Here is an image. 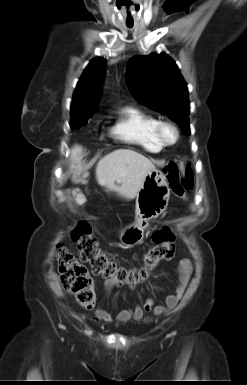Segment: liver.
I'll return each mask as SVG.
<instances>
[{"mask_svg": "<svg viewBox=\"0 0 247 385\" xmlns=\"http://www.w3.org/2000/svg\"><path fill=\"white\" fill-rule=\"evenodd\" d=\"M82 148L75 146L71 150L72 168H81ZM77 164V166L75 165ZM155 168L154 164L142 154L130 149H118L103 157L96 166V179L99 185L114 191L127 200L137 196L146 175ZM88 172L81 178L73 177L75 183H86ZM76 195V191L73 192ZM82 193L76 195L79 205L85 203Z\"/></svg>", "mask_w": 247, "mask_h": 385, "instance_id": "liver-1", "label": "liver"}]
</instances>
